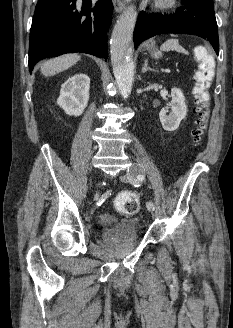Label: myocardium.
I'll list each match as a JSON object with an SVG mask.
<instances>
[{
	"label": "myocardium",
	"instance_id": "obj_1",
	"mask_svg": "<svg viewBox=\"0 0 233 328\" xmlns=\"http://www.w3.org/2000/svg\"><path fill=\"white\" fill-rule=\"evenodd\" d=\"M155 5L159 9L168 10L176 7L177 0H156Z\"/></svg>",
	"mask_w": 233,
	"mask_h": 328
}]
</instances>
